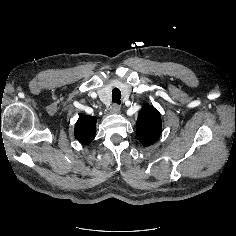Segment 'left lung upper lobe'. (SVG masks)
Instances as JSON below:
<instances>
[{
  "label": "left lung upper lobe",
  "mask_w": 236,
  "mask_h": 236,
  "mask_svg": "<svg viewBox=\"0 0 236 236\" xmlns=\"http://www.w3.org/2000/svg\"><path fill=\"white\" fill-rule=\"evenodd\" d=\"M162 132L161 116L157 109L146 104L137 120V135L144 146L155 143Z\"/></svg>",
  "instance_id": "1"
}]
</instances>
